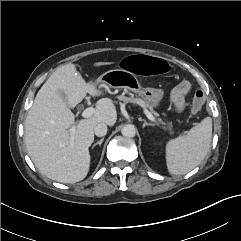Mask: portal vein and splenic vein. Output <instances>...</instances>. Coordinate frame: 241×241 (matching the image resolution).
<instances>
[{"mask_svg": "<svg viewBox=\"0 0 241 241\" xmlns=\"http://www.w3.org/2000/svg\"><path fill=\"white\" fill-rule=\"evenodd\" d=\"M94 111H95V109L92 108V107L86 108V109L82 112V116H83L84 118H89V117H91V116L94 114ZM144 113H145V115L147 116V118H148L149 120H151L152 122H155V123L157 122L156 118H155L148 110H144ZM75 130H76V127H75V126H72V127L70 128L69 131H70V135H71V136L74 135Z\"/></svg>", "mask_w": 241, "mask_h": 241, "instance_id": "18ae733b", "label": "portal vein and splenic vein"}]
</instances>
